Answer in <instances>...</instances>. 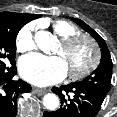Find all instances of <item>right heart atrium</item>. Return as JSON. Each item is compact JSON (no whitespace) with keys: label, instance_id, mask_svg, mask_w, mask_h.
<instances>
[{"label":"right heart atrium","instance_id":"right-heart-atrium-1","mask_svg":"<svg viewBox=\"0 0 117 117\" xmlns=\"http://www.w3.org/2000/svg\"><path fill=\"white\" fill-rule=\"evenodd\" d=\"M36 29V23H29L20 30L16 39V48L19 52H26L34 48V34Z\"/></svg>","mask_w":117,"mask_h":117}]
</instances>
